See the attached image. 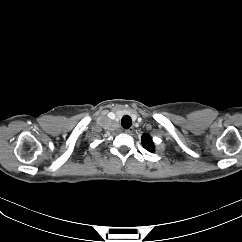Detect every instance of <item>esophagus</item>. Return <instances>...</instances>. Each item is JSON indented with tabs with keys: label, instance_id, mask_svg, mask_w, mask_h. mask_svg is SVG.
<instances>
[{
	"label": "esophagus",
	"instance_id": "obj_1",
	"mask_svg": "<svg viewBox=\"0 0 242 242\" xmlns=\"http://www.w3.org/2000/svg\"><path fill=\"white\" fill-rule=\"evenodd\" d=\"M133 131H134V129L131 127V128H129V129H126V130H125V133H126V134H132Z\"/></svg>",
	"mask_w": 242,
	"mask_h": 242
}]
</instances>
